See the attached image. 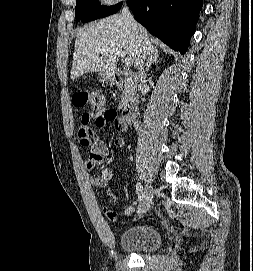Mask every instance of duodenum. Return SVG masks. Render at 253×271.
I'll use <instances>...</instances> for the list:
<instances>
[{
    "label": "duodenum",
    "mask_w": 253,
    "mask_h": 271,
    "mask_svg": "<svg viewBox=\"0 0 253 271\" xmlns=\"http://www.w3.org/2000/svg\"><path fill=\"white\" fill-rule=\"evenodd\" d=\"M111 82L114 85H131L135 83L136 75L132 72H125L121 70H116L111 73ZM139 109V100L132 96L124 104L122 108V118L126 123H132Z\"/></svg>",
    "instance_id": "1"
}]
</instances>
